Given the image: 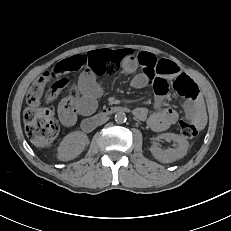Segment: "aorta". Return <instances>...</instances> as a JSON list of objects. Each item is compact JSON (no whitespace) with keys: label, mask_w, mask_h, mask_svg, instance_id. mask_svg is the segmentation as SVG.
<instances>
[{"label":"aorta","mask_w":231,"mask_h":231,"mask_svg":"<svg viewBox=\"0 0 231 231\" xmlns=\"http://www.w3.org/2000/svg\"><path fill=\"white\" fill-rule=\"evenodd\" d=\"M115 121L117 123H123L126 121V114L122 111H119L115 114Z\"/></svg>","instance_id":"1"}]
</instances>
